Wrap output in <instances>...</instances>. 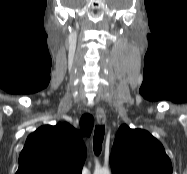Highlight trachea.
I'll return each mask as SVG.
<instances>
[{
	"label": "trachea",
	"mask_w": 187,
	"mask_h": 174,
	"mask_svg": "<svg viewBox=\"0 0 187 174\" xmlns=\"http://www.w3.org/2000/svg\"><path fill=\"white\" fill-rule=\"evenodd\" d=\"M104 131H105L104 125L95 127L93 149H94V152H95L96 155H99L101 150H102V142H103V138H104Z\"/></svg>",
	"instance_id": "3493384b"
}]
</instances>
